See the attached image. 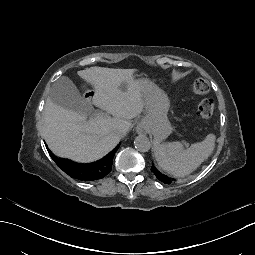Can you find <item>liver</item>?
<instances>
[{
    "label": "liver",
    "mask_w": 255,
    "mask_h": 255,
    "mask_svg": "<svg viewBox=\"0 0 255 255\" xmlns=\"http://www.w3.org/2000/svg\"><path fill=\"white\" fill-rule=\"evenodd\" d=\"M137 69L90 67L77 72L93 92L90 103L114 116L98 115L87 122L84 113L64 109L48 97L43 114V135L57 156L78 162L100 159L120 141L116 126L143 112V107L159 99L158 111L166 115V95L137 78ZM122 85L125 86L123 90Z\"/></svg>",
    "instance_id": "liver-1"
}]
</instances>
